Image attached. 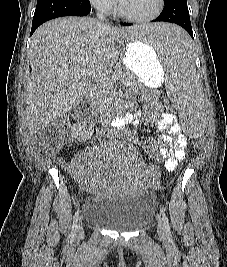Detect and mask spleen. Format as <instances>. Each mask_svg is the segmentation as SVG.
<instances>
[{
    "label": "spleen",
    "instance_id": "spleen-1",
    "mask_svg": "<svg viewBox=\"0 0 227 267\" xmlns=\"http://www.w3.org/2000/svg\"><path fill=\"white\" fill-rule=\"evenodd\" d=\"M130 30H135V33H127L129 43H146V47H155L158 59L169 63L163 81H167L170 97L181 104L204 103L191 50L193 42L181 25L176 22H140V25H130ZM178 115H203L202 106H179ZM180 121L185 125L184 137L204 140L206 124H203L202 116H180Z\"/></svg>",
    "mask_w": 227,
    "mask_h": 267
}]
</instances>
